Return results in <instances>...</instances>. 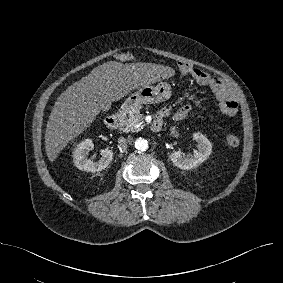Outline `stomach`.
Instances as JSON below:
<instances>
[{"mask_svg":"<svg viewBox=\"0 0 283 283\" xmlns=\"http://www.w3.org/2000/svg\"><path fill=\"white\" fill-rule=\"evenodd\" d=\"M171 96V87L166 82L157 85H146L139 88L124 101L121 110L125 113L133 111L142 104H154L168 100Z\"/></svg>","mask_w":283,"mask_h":283,"instance_id":"0dacf381","label":"stomach"}]
</instances>
